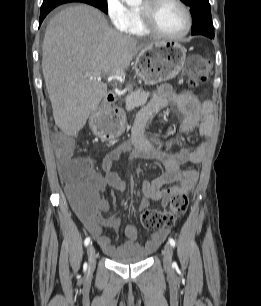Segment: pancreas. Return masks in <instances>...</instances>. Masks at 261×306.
<instances>
[{"mask_svg":"<svg viewBox=\"0 0 261 306\" xmlns=\"http://www.w3.org/2000/svg\"><path fill=\"white\" fill-rule=\"evenodd\" d=\"M149 97L150 93L143 91L142 89H137L135 91H132L125 99L126 110L131 111L135 107H139L141 105L146 104Z\"/></svg>","mask_w":261,"mask_h":306,"instance_id":"pancreas-1","label":"pancreas"}]
</instances>
